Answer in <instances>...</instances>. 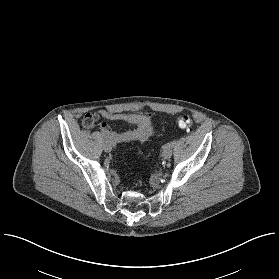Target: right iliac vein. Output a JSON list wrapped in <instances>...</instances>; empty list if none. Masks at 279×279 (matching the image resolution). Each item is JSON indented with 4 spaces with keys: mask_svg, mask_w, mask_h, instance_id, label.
<instances>
[{
    "mask_svg": "<svg viewBox=\"0 0 279 279\" xmlns=\"http://www.w3.org/2000/svg\"><path fill=\"white\" fill-rule=\"evenodd\" d=\"M103 149L105 152H110L112 150V144L109 141H105Z\"/></svg>",
    "mask_w": 279,
    "mask_h": 279,
    "instance_id": "63e3f726",
    "label": "right iliac vein"
}]
</instances>
